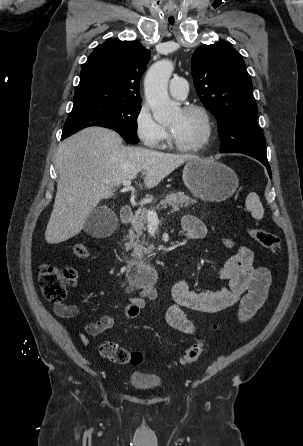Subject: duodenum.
<instances>
[{
	"mask_svg": "<svg viewBox=\"0 0 303 446\" xmlns=\"http://www.w3.org/2000/svg\"><path fill=\"white\" fill-rule=\"evenodd\" d=\"M133 211L129 207H124L120 212V220L123 224H129L133 220ZM157 276V269L150 264L138 261L129 263V279L134 286L152 284Z\"/></svg>",
	"mask_w": 303,
	"mask_h": 446,
	"instance_id": "duodenum-1",
	"label": "duodenum"
}]
</instances>
